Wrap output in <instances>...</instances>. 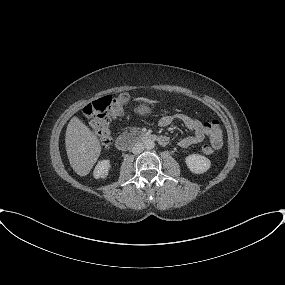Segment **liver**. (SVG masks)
<instances>
[{"label": "liver", "mask_w": 285, "mask_h": 285, "mask_svg": "<svg viewBox=\"0 0 285 285\" xmlns=\"http://www.w3.org/2000/svg\"><path fill=\"white\" fill-rule=\"evenodd\" d=\"M65 145L73 170L80 176L89 174L100 155L101 145L97 136L76 116L67 126Z\"/></svg>", "instance_id": "liver-1"}]
</instances>
